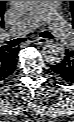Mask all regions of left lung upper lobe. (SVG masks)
Instances as JSON below:
<instances>
[{"mask_svg": "<svg viewBox=\"0 0 74 122\" xmlns=\"http://www.w3.org/2000/svg\"><path fill=\"white\" fill-rule=\"evenodd\" d=\"M71 12H72V26L74 28V1H70Z\"/></svg>", "mask_w": 74, "mask_h": 122, "instance_id": "left-lung-upper-lobe-1", "label": "left lung upper lobe"}]
</instances>
